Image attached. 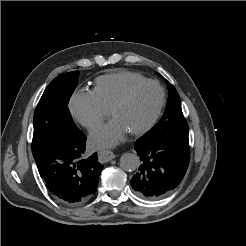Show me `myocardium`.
I'll return each instance as SVG.
<instances>
[{
    "label": "myocardium",
    "mask_w": 246,
    "mask_h": 246,
    "mask_svg": "<svg viewBox=\"0 0 246 246\" xmlns=\"http://www.w3.org/2000/svg\"><path fill=\"white\" fill-rule=\"evenodd\" d=\"M155 85L159 92H160V99H159V103L158 106L155 110V113L153 114V116L151 117V119L142 127L138 128V129H134V130H130L129 133L135 136H141L145 133H147L149 130H151L155 124L157 123L158 119L161 116V113L163 111L165 102H166V93L165 90L163 88V86L156 80L154 79H145L142 80L140 82H137L133 85H131L130 87H128L123 94L113 103V105L111 106V108L109 109L110 115L113 116V114L115 113L116 110H118L120 107H122L132 96V94L139 88H141L142 86L145 85Z\"/></svg>",
    "instance_id": "1"
}]
</instances>
